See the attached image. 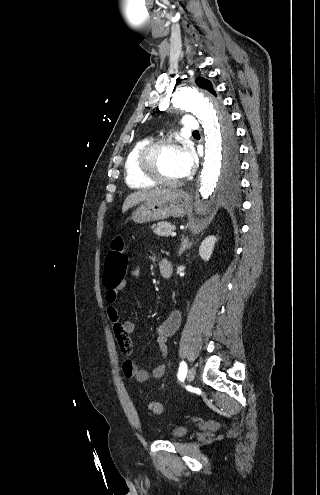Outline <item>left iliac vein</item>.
<instances>
[{"mask_svg":"<svg viewBox=\"0 0 320 495\" xmlns=\"http://www.w3.org/2000/svg\"><path fill=\"white\" fill-rule=\"evenodd\" d=\"M195 378V369L191 367L187 372V380L188 382H192Z\"/></svg>","mask_w":320,"mask_h":495,"instance_id":"4c4485c4","label":"left iliac vein"}]
</instances>
